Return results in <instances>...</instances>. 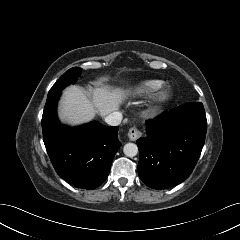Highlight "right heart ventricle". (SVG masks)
<instances>
[{"label":"right heart ventricle","instance_id":"obj_1","mask_svg":"<svg viewBox=\"0 0 240 240\" xmlns=\"http://www.w3.org/2000/svg\"><path fill=\"white\" fill-rule=\"evenodd\" d=\"M163 85L162 81L159 80H147L139 83L135 89L138 95H148Z\"/></svg>","mask_w":240,"mask_h":240}]
</instances>
